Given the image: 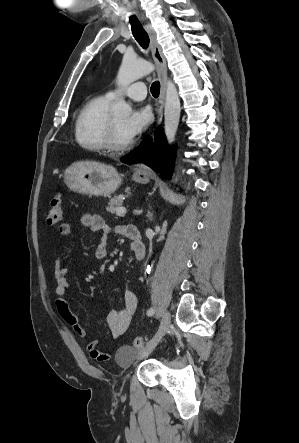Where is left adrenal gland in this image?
<instances>
[{"label": "left adrenal gland", "mask_w": 299, "mask_h": 443, "mask_svg": "<svg viewBox=\"0 0 299 443\" xmlns=\"http://www.w3.org/2000/svg\"><path fill=\"white\" fill-rule=\"evenodd\" d=\"M147 216H148L150 221L153 220V213H151L150 211H148V215Z\"/></svg>", "instance_id": "1"}]
</instances>
